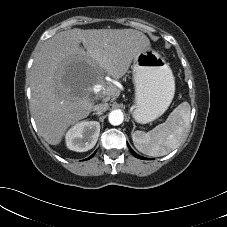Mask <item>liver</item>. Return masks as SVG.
I'll return each mask as SVG.
<instances>
[{
  "label": "liver",
  "instance_id": "obj_1",
  "mask_svg": "<svg viewBox=\"0 0 227 227\" xmlns=\"http://www.w3.org/2000/svg\"><path fill=\"white\" fill-rule=\"evenodd\" d=\"M149 47L147 36L134 29L74 28L48 39L34 58L30 76V107L39 134L49 144L58 145L66 130L93 110L92 93L108 97L115 92L114 87L96 79L97 69L118 80L133 59ZM72 59L86 62L93 73L90 87L79 94L65 91L58 80L61 66Z\"/></svg>",
  "mask_w": 227,
  "mask_h": 227
}]
</instances>
